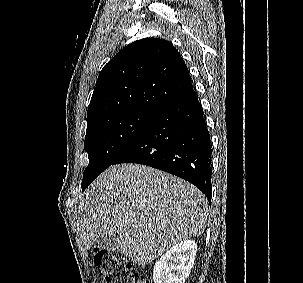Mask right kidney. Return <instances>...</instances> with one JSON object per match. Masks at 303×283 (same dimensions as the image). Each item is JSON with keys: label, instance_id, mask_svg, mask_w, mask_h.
<instances>
[{"label": "right kidney", "instance_id": "1", "mask_svg": "<svg viewBox=\"0 0 303 283\" xmlns=\"http://www.w3.org/2000/svg\"><path fill=\"white\" fill-rule=\"evenodd\" d=\"M197 244L183 240L170 248L153 268L154 283H185L194 264Z\"/></svg>", "mask_w": 303, "mask_h": 283}]
</instances>
